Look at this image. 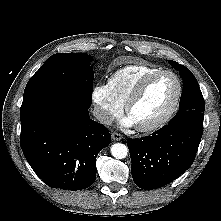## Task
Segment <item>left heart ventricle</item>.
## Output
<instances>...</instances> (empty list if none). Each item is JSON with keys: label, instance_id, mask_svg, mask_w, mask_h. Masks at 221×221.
<instances>
[{"label": "left heart ventricle", "instance_id": "left-heart-ventricle-1", "mask_svg": "<svg viewBox=\"0 0 221 221\" xmlns=\"http://www.w3.org/2000/svg\"><path fill=\"white\" fill-rule=\"evenodd\" d=\"M176 90V81L172 76L154 78L129 112L134 125L149 124L162 116L171 105Z\"/></svg>", "mask_w": 221, "mask_h": 221}]
</instances>
